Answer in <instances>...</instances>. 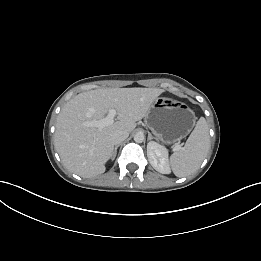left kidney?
<instances>
[{
  "mask_svg": "<svg viewBox=\"0 0 261 261\" xmlns=\"http://www.w3.org/2000/svg\"><path fill=\"white\" fill-rule=\"evenodd\" d=\"M147 156L150 164L156 171L162 174L170 173L168 151L165 147L153 141L149 142L147 144Z\"/></svg>",
  "mask_w": 261,
  "mask_h": 261,
  "instance_id": "left-kidney-1",
  "label": "left kidney"
}]
</instances>
